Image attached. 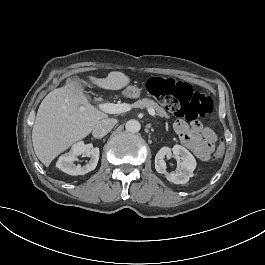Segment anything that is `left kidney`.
I'll use <instances>...</instances> for the list:
<instances>
[{"label": "left kidney", "mask_w": 265, "mask_h": 265, "mask_svg": "<svg viewBox=\"0 0 265 265\" xmlns=\"http://www.w3.org/2000/svg\"><path fill=\"white\" fill-rule=\"evenodd\" d=\"M175 155L180 157L183 162L175 171L168 173L166 171L167 166L164 158L172 157ZM155 169L158 173L164 174L165 178L175 184H184L192 176V172L195 169L196 161L192 154L184 147L175 145L173 148L170 146L161 147L154 158Z\"/></svg>", "instance_id": "left-kidney-1"}]
</instances>
